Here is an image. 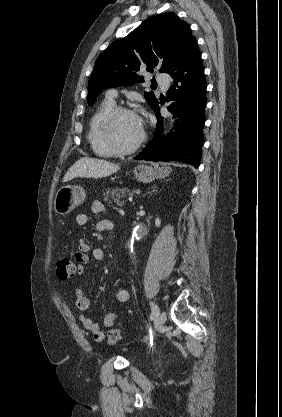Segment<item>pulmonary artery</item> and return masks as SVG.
Instances as JSON below:
<instances>
[{
    "label": "pulmonary artery",
    "mask_w": 282,
    "mask_h": 417,
    "mask_svg": "<svg viewBox=\"0 0 282 417\" xmlns=\"http://www.w3.org/2000/svg\"><path fill=\"white\" fill-rule=\"evenodd\" d=\"M155 81L156 83H165L166 86L168 85V82H165L166 81L165 74H156ZM106 97L109 100L115 99L117 97V91L115 89H109L106 92Z\"/></svg>",
    "instance_id": "1"
}]
</instances>
